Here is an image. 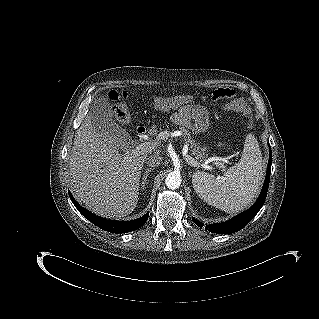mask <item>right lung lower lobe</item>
Segmentation results:
<instances>
[{
    "label": "right lung lower lobe",
    "instance_id": "obj_1",
    "mask_svg": "<svg viewBox=\"0 0 319 319\" xmlns=\"http://www.w3.org/2000/svg\"><path fill=\"white\" fill-rule=\"evenodd\" d=\"M69 196L75 207L85 218H87L90 222H92L99 228L111 233H127L134 231L141 227L147 221L149 216V213H147L144 216L131 221L106 220L99 216H96L95 214L80 206L79 203H77L76 200L73 198L71 193H69Z\"/></svg>",
    "mask_w": 319,
    "mask_h": 319
}]
</instances>
